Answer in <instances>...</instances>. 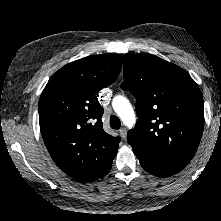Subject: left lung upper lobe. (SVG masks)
<instances>
[{
    "label": "left lung upper lobe",
    "instance_id": "left-lung-upper-lobe-1",
    "mask_svg": "<svg viewBox=\"0 0 221 221\" xmlns=\"http://www.w3.org/2000/svg\"><path fill=\"white\" fill-rule=\"evenodd\" d=\"M121 88L137 100L139 119L127 134L133 151L187 165L204 128L203 97L190 75L152 54H126Z\"/></svg>",
    "mask_w": 221,
    "mask_h": 221
}]
</instances>
